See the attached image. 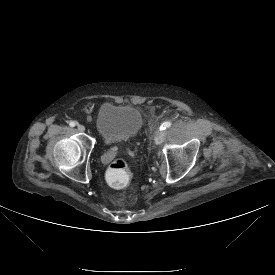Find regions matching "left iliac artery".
<instances>
[{
    "instance_id": "obj_1",
    "label": "left iliac artery",
    "mask_w": 275,
    "mask_h": 275,
    "mask_svg": "<svg viewBox=\"0 0 275 275\" xmlns=\"http://www.w3.org/2000/svg\"><path fill=\"white\" fill-rule=\"evenodd\" d=\"M171 122L170 121H166L164 123H162V125L160 126V130H165L166 128H169L171 126Z\"/></svg>"
}]
</instances>
